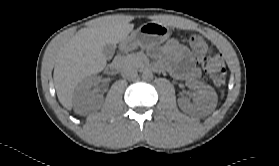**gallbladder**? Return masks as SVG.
Instances as JSON below:
<instances>
[{"label": "gallbladder", "instance_id": "obj_1", "mask_svg": "<svg viewBox=\"0 0 279 166\" xmlns=\"http://www.w3.org/2000/svg\"><path fill=\"white\" fill-rule=\"evenodd\" d=\"M115 49H116L115 44L109 43L104 45L103 56L105 57L106 60H110L113 57Z\"/></svg>", "mask_w": 279, "mask_h": 166}]
</instances>
